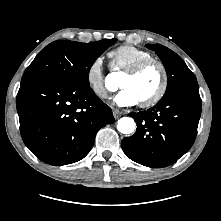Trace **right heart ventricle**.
Segmentation results:
<instances>
[{
  "instance_id": "1",
  "label": "right heart ventricle",
  "mask_w": 221,
  "mask_h": 221,
  "mask_svg": "<svg viewBox=\"0 0 221 221\" xmlns=\"http://www.w3.org/2000/svg\"><path fill=\"white\" fill-rule=\"evenodd\" d=\"M111 69L125 71L138 61L152 57L151 53L143 48L125 44L108 53Z\"/></svg>"
}]
</instances>
